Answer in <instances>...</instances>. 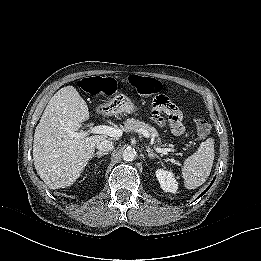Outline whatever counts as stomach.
Returning a JSON list of instances; mask_svg holds the SVG:
<instances>
[{
  "mask_svg": "<svg viewBox=\"0 0 261 261\" xmlns=\"http://www.w3.org/2000/svg\"><path fill=\"white\" fill-rule=\"evenodd\" d=\"M108 111H117L125 114H136L138 108L124 94H119L103 106Z\"/></svg>",
  "mask_w": 261,
  "mask_h": 261,
  "instance_id": "stomach-1",
  "label": "stomach"
}]
</instances>
